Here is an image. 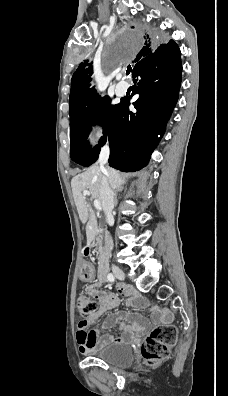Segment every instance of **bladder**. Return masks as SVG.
<instances>
[{
    "instance_id": "31cf9c89",
    "label": "bladder",
    "mask_w": 228,
    "mask_h": 396,
    "mask_svg": "<svg viewBox=\"0 0 228 396\" xmlns=\"http://www.w3.org/2000/svg\"><path fill=\"white\" fill-rule=\"evenodd\" d=\"M92 356L115 366H127L134 361V352L128 343L115 342L96 348Z\"/></svg>"
}]
</instances>
